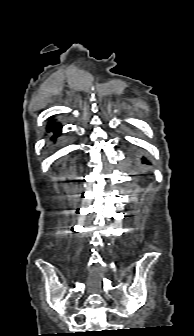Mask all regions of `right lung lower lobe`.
<instances>
[{"label":"right lung lower lobe","mask_w":194,"mask_h":336,"mask_svg":"<svg viewBox=\"0 0 194 336\" xmlns=\"http://www.w3.org/2000/svg\"><path fill=\"white\" fill-rule=\"evenodd\" d=\"M61 128L62 127L59 123L50 121V124L47 127V131L54 133L52 137L53 140H55L60 135Z\"/></svg>","instance_id":"1"}]
</instances>
